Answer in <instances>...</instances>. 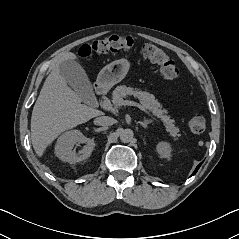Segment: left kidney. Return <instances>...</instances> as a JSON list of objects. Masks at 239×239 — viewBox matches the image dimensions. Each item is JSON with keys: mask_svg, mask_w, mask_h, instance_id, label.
<instances>
[{"mask_svg": "<svg viewBox=\"0 0 239 239\" xmlns=\"http://www.w3.org/2000/svg\"><path fill=\"white\" fill-rule=\"evenodd\" d=\"M156 151L161 158L170 159L171 158V146L168 142H159L156 145Z\"/></svg>", "mask_w": 239, "mask_h": 239, "instance_id": "left-kidney-1", "label": "left kidney"}]
</instances>
